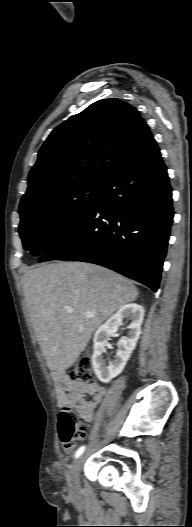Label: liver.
Returning a JSON list of instances; mask_svg holds the SVG:
<instances>
[{
    "mask_svg": "<svg viewBox=\"0 0 192 527\" xmlns=\"http://www.w3.org/2000/svg\"><path fill=\"white\" fill-rule=\"evenodd\" d=\"M22 282L47 366L58 372L77 361L105 320L138 297L137 288L127 278L82 262L46 264L25 272ZM68 308L73 312L68 313ZM88 314L94 317L86 318Z\"/></svg>",
    "mask_w": 192,
    "mask_h": 527,
    "instance_id": "1",
    "label": "liver"
}]
</instances>
